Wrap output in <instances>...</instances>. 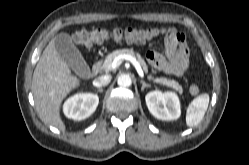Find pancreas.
Segmentation results:
<instances>
[{"label": "pancreas", "instance_id": "obj_1", "mask_svg": "<svg viewBox=\"0 0 249 165\" xmlns=\"http://www.w3.org/2000/svg\"><path fill=\"white\" fill-rule=\"evenodd\" d=\"M131 55L134 58L137 59V61L140 63V65L142 66L143 70L147 73L148 72V66L145 62V60L142 58V56L135 52L133 49H120V50H115L112 53H110L106 59L104 60V62L101 65V68L106 71L109 72L112 70L111 68V64L114 60L115 57L119 56V55ZM149 80H152L156 83H159L161 85H165L167 87H171L173 89H175L176 91H178L179 93H182V87L178 84V82L174 81V80H170L167 78H153V76H149L148 77Z\"/></svg>", "mask_w": 249, "mask_h": 165}]
</instances>
